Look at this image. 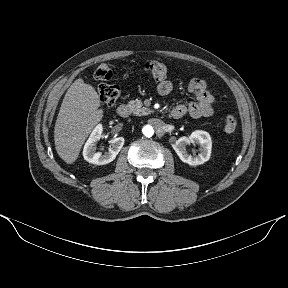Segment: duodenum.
I'll return each mask as SVG.
<instances>
[{
  "instance_id": "1",
  "label": "duodenum",
  "mask_w": 288,
  "mask_h": 288,
  "mask_svg": "<svg viewBox=\"0 0 288 288\" xmlns=\"http://www.w3.org/2000/svg\"><path fill=\"white\" fill-rule=\"evenodd\" d=\"M117 113L119 116L126 118L130 115V108L127 104H121L118 108H117Z\"/></svg>"
}]
</instances>
